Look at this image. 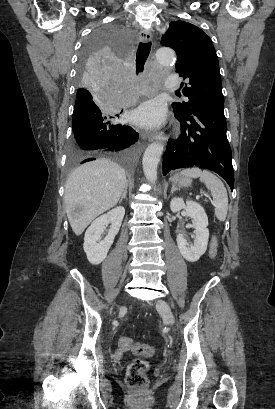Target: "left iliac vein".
<instances>
[{
    "label": "left iliac vein",
    "instance_id": "obj_1",
    "mask_svg": "<svg viewBox=\"0 0 275 409\" xmlns=\"http://www.w3.org/2000/svg\"><path fill=\"white\" fill-rule=\"evenodd\" d=\"M156 307L163 316L164 322L169 326H174L175 320L169 304H167L164 300L159 299Z\"/></svg>",
    "mask_w": 275,
    "mask_h": 409
}]
</instances>
